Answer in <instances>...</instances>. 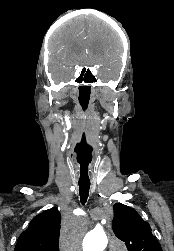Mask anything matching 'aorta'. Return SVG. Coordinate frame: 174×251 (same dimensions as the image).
Wrapping results in <instances>:
<instances>
[{"label": "aorta", "mask_w": 174, "mask_h": 251, "mask_svg": "<svg viewBox=\"0 0 174 251\" xmlns=\"http://www.w3.org/2000/svg\"><path fill=\"white\" fill-rule=\"evenodd\" d=\"M107 242V236L104 231L93 230L86 234L83 241V250L103 251L107 246Z\"/></svg>", "instance_id": "aorta-1"}]
</instances>
